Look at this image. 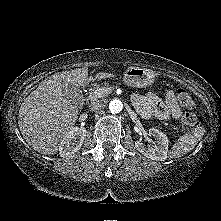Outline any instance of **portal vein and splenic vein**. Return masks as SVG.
Wrapping results in <instances>:
<instances>
[{
	"instance_id": "portal-vein-and-splenic-vein-1",
	"label": "portal vein and splenic vein",
	"mask_w": 221,
	"mask_h": 221,
	"mask_svg": "<svg viewBox=\"0 0 221 221\" xmlns=\"http://www.w3.org/2000/svg\"><path fill=\"white\" fill-rule=\"evenodd\" d=\"M108 92H109V89L106 88V87H103V88H99L98 90H96L94 92V95L98 96V97H101V96L107 94Z\"/></svg>"
}]
</instances>
